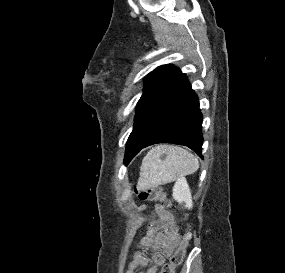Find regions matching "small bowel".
<instances>
[{"label": "small bowel", "mask_w": 285, "mask_h": 273, "mask_svg": "<svg viewBox=\"0 0 285 273\" xmlns=\"http://www.w3.org/2000/svg\"><path fill=\"white\" fill-rule=\"evenodd\" d=\"M140 209L144 207L141 206ZM154 213L157 218L150 222L145 235L140 239L138 251L134 254L126 273H137L138 267L148 265V260L143 255L144 250L151 251L153 261L146 273H158L159 266L165 262L179 242L173 214L161 204L155 205Z\"/></svg>", "instance_id": "c3829d8e"}]
</instances>
